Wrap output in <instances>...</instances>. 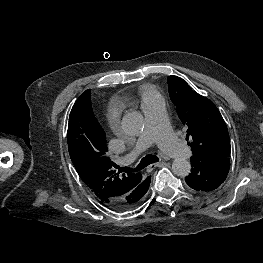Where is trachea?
I'll list each match as a JSON object with an SVG mask.
<instances>
[{"label": "trachea", "instance_id": "obj_1", "mask_svg": "<svg viewBox=\"0 0 263 263\" xmlns=\"http://www.w3.org/2000/svg\"><path fill=\"white\" fill-rule=\"evenodd\" d=\"M159 161V158L155 155H146L145 157H143L140 161V163L137 165L136 168L132 169L130 167H118L119 171L120 172H132V171H139V170H142L144 169L145 167H147L148 165L152 164V163H155V162H158Z\"/></svg>", "mask_w": 263, "mask_h": 263}]
</instances>
